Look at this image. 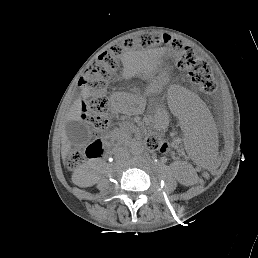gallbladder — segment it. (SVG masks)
Segmentation results:
<instances>
[{"label":"gallbladder","mask_w":258,"mask_h":258,"mask_svg":"<svg viewBox=\"0 0 258 258\" xmlns=\"http://www.w3.org/2000/svg\"><path fill=\"white\" fill-rule=\"evenodd\" d=\"M65 131L69 141L74 145H83L90 141L89 127L81 121L67 122Z\"/></svg>","instance_id":"gallbladder-1"}]
</instances>
